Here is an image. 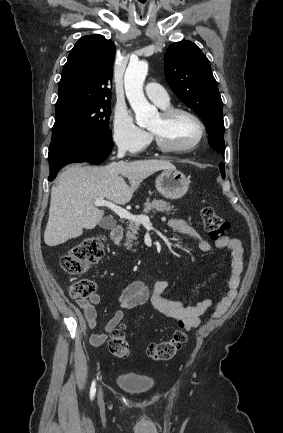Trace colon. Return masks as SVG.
<instances>
[{"instance_id": "5ec220e1", "label": "colon", "mask_w": 283, "mask_h": 433, "mask_svg": "<svg viewBox=\"0 0 283 433\" xmlns=\"http://www.w3.org/2000/svg\"><path fill=\"white\" fill-rule=\"evenodd\" d=\"M201 221L205 231L213 240L221 239L228 231L230 225L212 207H205L201 211ZM104 237L101 235L85 238L74 245L61 258V267L72 275L85 273L91 265L95 264L104 254ZM95 291V284L89 279H80L74 282L69 289L70 296L74 299H86ZM183 324L175 330L171 338L159 342L150 343L146 353L154 361L169 360L181 349L187 336L183 330ZM110 353L119 359H125L130 355V345L126 339L123 326L114 329L108 340Z\"/></svg>"}]
</instances>
